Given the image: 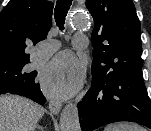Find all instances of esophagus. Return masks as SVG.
<instances>
[{
  "label": "esophagus",
  "instance_id": "1",
  "mask_svg": "<svg viewBox=\"0 0 151 131\" xmlns=\"http://www.w3.org/2000/svg\"><path fill=\"white\" fill-rule=\"evenodd\" d=\"M62 103L57 99H52L49 101V110L53 114H58L61 110Z\"/></svg>",
  "mask_w": 151,
  "mask_h": 131
}]
</instances>
